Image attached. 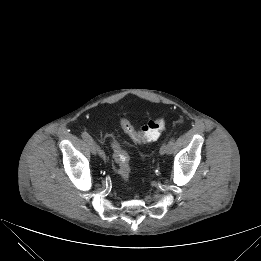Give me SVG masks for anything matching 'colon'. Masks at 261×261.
<instances>
[{
    "label": "colon",
    "mask_w": 261,
    "mask_h": 261,
    "mask_svg": "<svg viewBox=\"0 0 261 261\" xmlns=\"http://www.w3.org/2000/svg\"><path fill=\"white\" fill-rule=\"evenodd\" d=\"M120 126L126 134L136 142H150L156 140L165 128V120L157 118L148 121L140 129H135L134 126L126 118L120 119ZM111 148L113 151L114 168L120 178L127 182L130 177L129 157L122 146L116 140L111 141Z\"/></svg>",
    "instance_id": "5ec220e1"
}]
</instances>
